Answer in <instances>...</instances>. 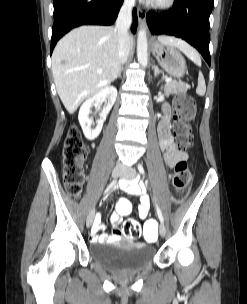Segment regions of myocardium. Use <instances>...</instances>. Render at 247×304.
<instances>
[{
    "label": "myocardium",
    "mask_w": 247,
    "mask_h": 304,
    "mask_svg": "<svg viewBox=\"0 0 247 304\" xmlns=\"http://www.w3.org/2000/svg\"><path fill=\"white\" fill-rule=\"evenodd\" d=\"M175 3V0H154L151 3L153 9L157 11H168Z\"/></svg>",
    "instance_id": "myocardium-1"
}]
</instances>
